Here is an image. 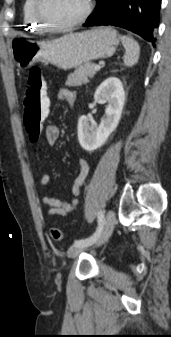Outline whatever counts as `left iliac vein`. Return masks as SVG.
Listing matches in <instances>:
<instances>
[{"label": "left iliac vein", "instance_id": "1", "mask_svg": "<svg viewBox=\"0 0 171 337\" xmlns=\"http://www.w3.org/2000/svg\"><path fill=\"white\" fill-rule=\"evenodd\" d=\"M115 223H116L115 214L112 210H110L107 213L104 228L98 240L96 241L95 246H101L109 239L115 227ZM87 247L88 246L73 247L69 252L70 257L72 258L78 257Z\"/></svg>", "mask_w": 171, "mask_h": 337}]
</instances>
